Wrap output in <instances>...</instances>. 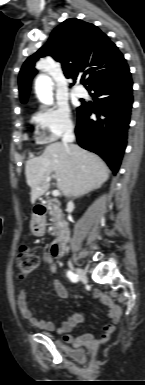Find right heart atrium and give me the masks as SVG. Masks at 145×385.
I'll list each match as a JSON object with an SVG mask.
<instances>
[{
	"label": "right heart atrium",
	"instance_id": "1",
	"mask_svg": "<svg viewBox=\"0 0 145 385\" xmlns=\"http://www.w3.org/2000/svg\"><path fill=\"white\" fill-rule=\"evenodd\" d=\"M33 121L46 143L54 142L73 130L70 109L62 103L41 107L33 116Z\"/></svg>",
	"mask_w": 145,
	"mask_h": 385
}]
</instances>
